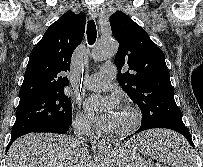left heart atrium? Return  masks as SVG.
<instances>
[{"label": "left heart atrium", "mask_w": 203, "mask_h": 167, "mask_svg": "<svg viewBox=\"0 0 203 167\" xmlns=\"http://www.w3.org/2000/svg\"><path fill=\"white\" fill-rule=\"evenodd\" d=\"M116 104L115 98L105 100L99 96H93L87 100L86 107L96 123L100 127L109 130L116 117L120 114Z\"/></svg>", "instance_id": "left-heart-atrium-1"}]
</instances>
